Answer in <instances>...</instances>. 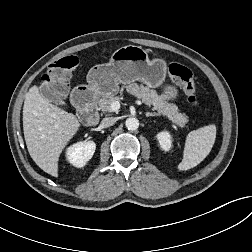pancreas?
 Instances as JSON below:
<instances>
[{
    "label": "pancreas",
    "mask_w": 252,
    "mask_h": 252,
    "mask_svg": "<svg viewBox=\"0 0 252 252\" xmlns=\"http://www.w3.org/2000/svg\"><path fill=\"white\" fill-rule=\"evenodd\" d=\"M137 96L148 106H152L160 114L166 115L173 123L184 127L188 122L187 116L179 113L176 105L170 104L166 95H159L155 90L141 87ZM119 96L110 95L99 100V109L103 112H112L111 104L120 101Z\"/></svg>",
    "instance_id": "cf45deb5"
}]
</instances>
